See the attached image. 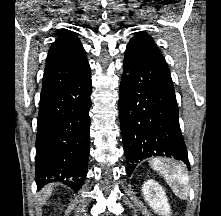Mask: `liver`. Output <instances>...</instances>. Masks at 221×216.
Returning <instances> with one entry per match:
<instances>
[{
  "label": "liver",
  "instance_id": "liver-1",
  "mask_svg": "<svg viewBox=\"0 0 221 216\" xmlns=\"http://www.w3.org/2000/svg\"><path fill=\"white\" fill-rule=\"evenodd\" d=\"M53 191V185L49 184L45 186L40 192L38 196L39 205H43L46 200L50 197Z\"/></svg>",
  "mask_w": 221,
  "mask_h": 216
}]
</instances>
